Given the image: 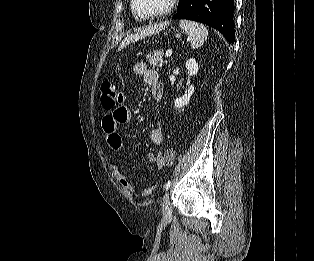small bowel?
Here are the masks:
<instances>
[{
	"mask_svg": "<svg viewBox=\"0 0 314 261\" xmlns=\"http://www.w3.org/2000/svg\"><path fill=\"white\" fill-rule=\"evenodd\" d=\"M133 71L135 74L142 76L144 82L150 86L152 98L154 100H161L163 97V85L159 80L158 73L149 69L143 62L135 63ZM107 114L102 119V127L107 136V143L112 150H121L124 147V142L122 136L118 133V127H122L123 124L130 122L132 118L131 111L125 106H120L118 109H108ZM149 139L154 145L162 144L164 132L161 122H157L151 128ZM161 157V153L148 155V159L154 162L158 169L162 167ZM110 171L125 191H134L133 182L117 165L111 164ZM151 192L152 188H145L142 194L149 195Z\"/></svg>",
	"mask_w": 314,
	"mask_h": 261,
	"instance_id": "obj_1",
	"label": "small bowel"
}]
</instances>
